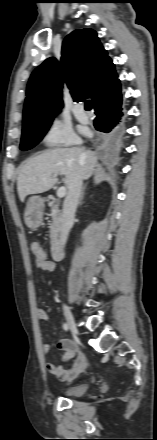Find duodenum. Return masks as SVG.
I'll return each instance as SVG.
<instances>
[{
    "label": "duodenum",
    "instance_id": "obj_1",
    "mask_svg": "<svg viewBox=\"0 0 157 440\" xmlns=\"http://www.w3.org/2000/svg\"><path fill=\"white\" fill-rule=\"evenodd\" d=\"M51 254L55 261H59L63 258V249L57 241H53L52 243Z\"/></svg>",
    "mask_w": 157,
    "mask_h": 440
}]
</instances>
